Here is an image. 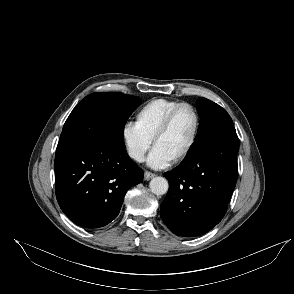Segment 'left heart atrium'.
<instances>
[{
  "mask_svg": "<svg viewBox=\"0 0 294 294\" xmlns=\"http://www.w3.org/2000/svg\"><path fill=\"white\" fill-rule=\"evenodd\" d=\"M172 162L173 159L156 146L152 149L147 158L148 165L155 169L165 168L169 166Z\"/></svg>",
  "mask_w": 294,
  "mask_h": 294,
  "instance_id": "left-heart-atrium-1",
  "label": "left heart atrium"
}]
</instances>
